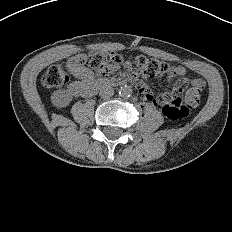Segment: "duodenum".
Listing matches in <instances>:
<instances>
[{
  "instance_id": "1",
  "label": "duodenum",
  "mask_w": 232,
  "mask_h": 232,
  "mask_svg": "<svg viewBox=\"0 0 232 232\" xmlns=\"http://www.w3.org/2000/svg\"><path fill=\"white\" fill-rule=\"evenodd\" d=\"M125 84H127V81H121L119 83H116L108 79H102V78L97 79L88 85V88H87L88 96L93 95L98 89H101V88L113 87L116 85H125Z\"/></svg>"
}]
</instances>
